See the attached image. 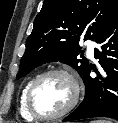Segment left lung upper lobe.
<instances>
[{"instance_id":"5c2ea615","label":"left lung upper lobe","mask_w":118,"mask_h":123,"mask_svg":"<svg viewBox=\"0 0 118 123\" xmlns=\"http://www.w3.org/2000/svg\"><path fill=\"white\" fill-rule=\"evenodd\" d=\"M116 18L118 0H46L27 38L17 79L53 61L72 66L83 77L89 62L80 38L96 41Z\"/></svg>"}]
</instances>
